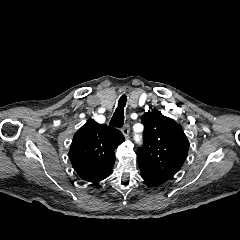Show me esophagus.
Masks as SVG:
<instances>
[{"label": "esophagus", "instance_id": "34e87169", "mask_svg": "<svg viewBox=\"0 0 240 240\" xmlns=\"http://www.w3.org/2000/svg\"><path fill=\"white\" fill-rule=\"evenodd\" d=\"M122 133L124 135L125 138H128L129 133H130V126L129 124H126L123 128H122Z\"/></svg>", "mask_w": 240, "mask_h": 240}]
</instances>
